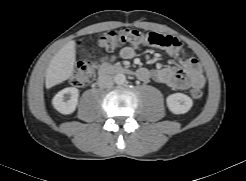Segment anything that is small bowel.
Returning a JSON list of instances; mask_svg holds the SVG:
<instances>
[{
	"mask_svg": "<svg viewBox=\"0 0 246 181\" xmlns=\"http://www.w3.org/2000/svg\"><path fill=\"white\" fill-rule=\"evenodd\" d=\"M165 49L168 55L178 63V67L139 68L136 74L139 79L154 80L175 89H186L190 86L203 87L205 85V77L200 63L188 55L180 42L177 47ZM119 55L123 59H132L135 56V50L131 46H124ZM114 59V56L108 59L103 58L102 62H112Z\"/></svg>",
	"mask_w": 246,
	"mask_h": 181,
	"instance_id": "1",
	"label": "small bowel"
}]
</instances>
